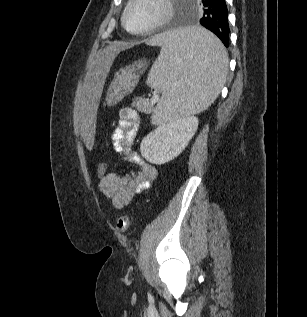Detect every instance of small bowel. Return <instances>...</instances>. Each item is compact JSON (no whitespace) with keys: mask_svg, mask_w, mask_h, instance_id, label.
I'll return each instance as SVG.
<instances>
[{"mask_svg":"<svg viewBox=\"0 0 307 317\" xmlns=\"http://www.w3.org/2000/svg\"><path fill=\"white\" fill-rule=\"evenodd\" d=\"M139 122L137 112L131 107H125L121 109L119 122L111 135L116 152L124 161L137 165L138 170L130 176H121L110 170L100 178L99 182L100 191L118 210L130 204L138 194L148 189L157 177L156 168L132 150Z\"/></svg>","mask_w":307,"mask_h":317,"instance_id":"1","label":"small bowel"}]
</instances>
